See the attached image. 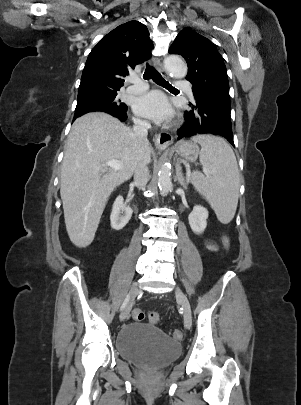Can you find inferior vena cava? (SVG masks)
Returning a JSON list of instances; mask_svg holds the SVG:
<instances>
[{
    "label": "inferior vena cava",
    "instance_id": "602c4592",
    "mask_svg": "<svg viewBox=\"0 0 301 405\" xmlns=\"http://www.w3.org/2000/svg\"><path fill=\"white\" fill-rule=\"evenodd\" d=\"M151 127L150 123L145 120L135 119L133 126V133L136 138L141 142H147L148 129ZM149 180V170L146 162L139 161L134 169V182L138 188H143Z\"/></svg>",
    "mask_w": 301,
    "mask_h": 405
}]
</instances>
